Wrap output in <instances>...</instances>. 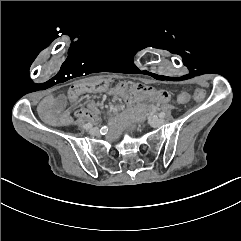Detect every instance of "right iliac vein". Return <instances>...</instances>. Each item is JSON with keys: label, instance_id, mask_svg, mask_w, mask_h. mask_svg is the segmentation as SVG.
<instances>
[{"label": "right iliac vein", "instance_id": "obj_1", "mask_svg": "<svg viewBox=\"0 0 241 241\" xmlns=\"http://www.w3.org/2000/svg\"><path fill=\"white\" fill-rule=\"evenodd\" d=\"M89 133H90L91 135H97V134L99 133V129H98L97 127L91 128V129L89 130Z\"/></svg>", "mask_w": 241, "mask_h": 241}]
</instances>
